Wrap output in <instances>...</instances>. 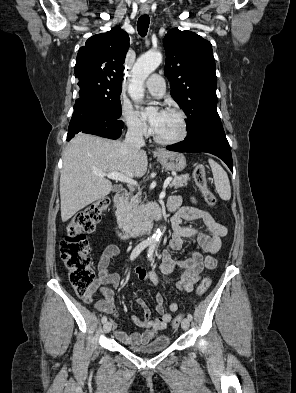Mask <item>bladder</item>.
I'll list each match as a JSON object with an SVG mask.
<instances>
[{
  "label": "bladder",
  "mask_w": 296,
  "mask_h": 393,
  "mask_svg": "<svg viewBox=\"0 0 296 393\" xmlns=\"http://www.w3.org/2000/svg\"><path fill=\"white\" fill-rule=\"evenodd\" d=\"M170 343V337L166 335H159L142 347H128V350L139 354H152L165 350Z\"/></svg>",
  "instance_id": "31cf9c89"
}]
</instances>
